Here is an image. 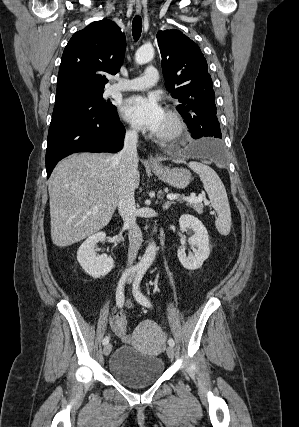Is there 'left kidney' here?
<instances>
[{
	"mask_svg": "<svg viewBox=\"0 0 299 427\" xmlns=\"http://www.w3.org/2000/svg\"><path fill=\"white\" fill-rule=\"evenodd\" d=\"M180 230L182 232L192 230L194 234L188 239L189 244L195 246L197 249L194 254H185L184 245L186 243L185 238H181V247L178 249V258L184 268L188 270L199 269L203 262L209 257V236L206 227L196 217L184 214L179 219Z\"/></svg>",
	"mask_w": 299,
	"mask_h": 427,
	"instance_id": "1",
	"label": "left kidney"
}]
</instances>
